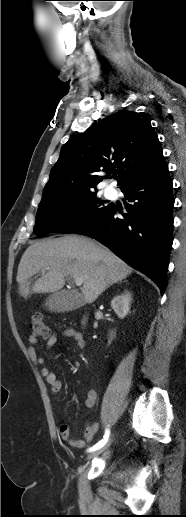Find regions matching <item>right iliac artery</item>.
Returning a JSON list of instances; mask_svg holds the SVG:
<instances>
[{
    "mask_svg": "<svg viewBox=\"0 0 186 517\" xmlns=\"http://www.w3.org/2000/svg\"><path fill=\"white\" fill-rule=\"evenodd\" d=\"M109 436H110V429L106 428L103 439L101 441H99L98 443H96L94 446L88 448L87 451L92 452V451H95V450L103 447L108 442Z\"/></svg>",
    "mask_w": 186,
    "mask_h": 517,
    "instance_id": "1",
    "label": "right iliac artery"
}]
</instances>
